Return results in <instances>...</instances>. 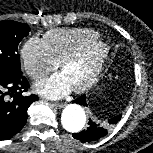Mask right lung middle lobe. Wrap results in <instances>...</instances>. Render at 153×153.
<instances>
[{"label": "right lung middle lobe", "instance_id": "1", "mask_svg": "<svg viewBox=\"0 0 153 153\" xmlns=\"http://www.w3.org/2000/svg\"><path fill=\"white\" fill-rule=\"evenodd\" d=\"M30 27L15 21H0V70L22 74L18 44L29 34Z\"/></svg>", "mask_w": 153, "mask_h": 153}]
</instances>
